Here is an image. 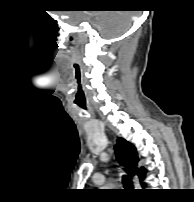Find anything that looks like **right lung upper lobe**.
Listing matches in <instances>:
<instances>
[{
  "mask_svg": "<svg viewBox=\"0 0 194 202\" xmlns=\"http://www.w3.org/2000/svg\"><path fill=\"white\" fill-rule=\"evenodd\" d=\"M115 151L117 160L128 169V173L131 176L137 174L142 181L146 170L143 167L140 169L137 168L139 158L136 148L123 138H119L118 143L115 146ZM142 186L144 187L145 185L142 184Z\"/></svg>",
  "mask_w": 194,
  "mask_h": 202,
  "instance_id": "cb5924a9",
  "label": "right lung upper lobe"
}]
</instances>
